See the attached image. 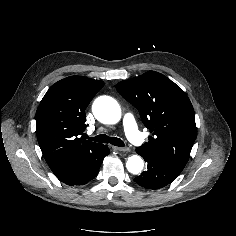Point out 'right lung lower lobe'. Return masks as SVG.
I'll return each instance as SVG.
<instances>
[{
	"instance_id": "right-lung-lower-lobe-1",
	"label": "right lung lower lobe",
	"mask_w": 236,
	"mask_h": 236,
	"mask_svg": "<svg viewBox=\"0 0 236 236\" xmlns=\"http://www.w3.org/2000/svg\"><path fill=\"white\" fill-rule=\"evenodd\" d=\"M108 154V147L102 144L92 152L76 155L66 169L55 176L69 186L84 185L97 176L100 165Z\"/></svg>"
}]
</instances>
